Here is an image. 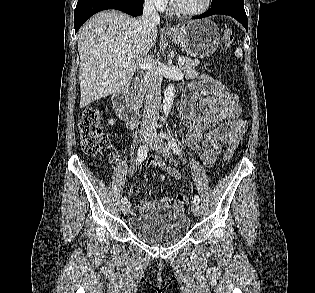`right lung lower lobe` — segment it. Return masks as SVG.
<instances>
[{"mask_svg":"<svg viewBox=\"0 0 315 293\" xmlns=\"http://www.w3.org/2000/svg\"><path fill=\"white\" fill-rule=\"evenodd\" d=\"M144 0H78L74 12L75 31L96 12L106 9H116L132 16L143 13Z\"/></svg>","mask_w":315,"mask_h":293,"instance_id":"obj_1","label":"right lung lower lobe"}]
</instances>
